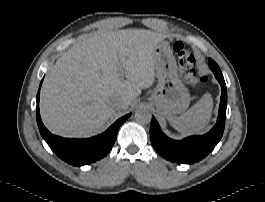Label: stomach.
I'll list each match as a JSON object with an SVG mask.
<instances>
[{"mask_svg":"<svg viewBox=\"0 0 265 202\" xmlns=\"http://www.w3.org/2000/svg\"><path fill=\"white\" fill-rule=\"evenodd\" d=\"M154 64L158 85L151 95L156 111L171 118L184 112L190 104V94L178 76V67L168 42L154 47Z\"/></svg>","mask_w":265,"mask_h":202,"instance_id":"obj_1","label":"stomach"}]
</instances>
